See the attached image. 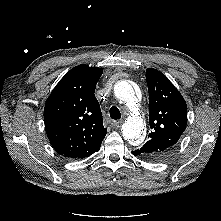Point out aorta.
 <instances>
[{"label": "aorta", "instance_id": "obj_1", "mask_svg": "<svg viewBox=\"0 0 221 221\" xmlns=\"http://www.w3.org/2000/svg\"><path fill=\"white\" fill-rule=\"evenodd\" d=\"M115 96L131 111L122 124V136L132 145H139L144 139V120L136 110L137 99L132 86L126 81H120L114 88Z\"/></svg>", "mask_w": 221, "mask_h": 221}]
</instances>
